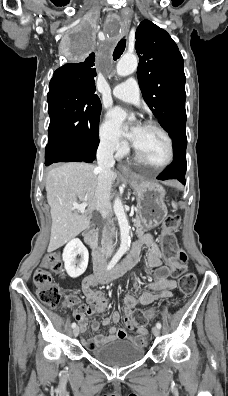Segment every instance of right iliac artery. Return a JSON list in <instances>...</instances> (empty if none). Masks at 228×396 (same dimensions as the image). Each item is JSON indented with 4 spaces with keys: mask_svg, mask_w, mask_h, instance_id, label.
Returning <instances> with one entry per match:
<instances>
[{
    "mask_svg": "<svg viewBox=\"0 0 228 396\" xmlns=\"http://www.w3.org/2000/svg\"><path fill=\"white\" fill-rule=\"evenodd\" d=\"M123 254H124V251H121V250L118 251V252L115 254V256L112 258V260L110 261V263L108 264L106 270L112 269V268L115 266V264L118 262V260L122 257ZM71 327H72V328H75V327H76V323H72Z\"/></svg>",
    "mask_w": 228,
    "mask_h": 396,
    "instance_id": "right-iliac-artery-1",
    "label": "right iliac artery"
}]
</instances>
